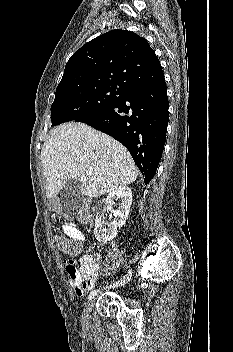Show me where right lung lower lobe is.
Instances as JSON below:
<instances>
[{
    "label": "right lung lower lobe",
    "mask_w": 233,
    "mask_h": 352,
    "mask_svg": "<svg viewBox=\"0 0 233 352\" xmlns=\"http://www.w3.org/2000/svg\"><path fill=\"white\" fill-rule=\"evenodd\" d=\"M169 102L164 75L128 90L110 107L80 122L121 142L131 153L145 184L154 177L165 144Z\"/></svg>",
    "instance_id": "1"
}]
</instances>
